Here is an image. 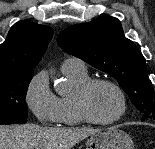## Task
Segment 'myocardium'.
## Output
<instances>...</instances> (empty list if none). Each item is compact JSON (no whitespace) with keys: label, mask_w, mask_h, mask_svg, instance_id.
I'll return each mask as SVG.
<instances>
[{"label":"myocardium","mask_w":155,"mask_h":149,"mask_svg":"<svg viewBox=\"0 0 155 149\" xmlns=\"http://www.w3.org/2000/svg\"><path fill=\"white\" fill-rule=\"evenodd\" d=\"M98 85H108L112 87L117 94L119 95L121 108L115 117L109 120H100L97 119L90 111L88 107V96L92 89ZM74 103L77 108V111L83 121L93 124V125H101V126H108L112 125L118 121H120L127 112V98L123 89L114 81L106 78H93L89 79L80 86H78L74 93Z\"/></svg>","instance_id":"obj_1"}]
</instances>
